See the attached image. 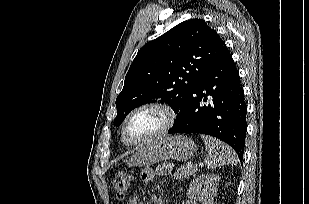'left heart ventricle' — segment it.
<instances>
[{"instance_id":"obj_1","label":"left heart ventricle","mask_w":309,"mask_h":204,"mask_svg":"<svg viewBox=\"0 0 309 204\" xmlns=\"http://www.w3.org/2000/svg\"><path fill=\"white\" fill-rule=\"evenodd\" d=\"M164 123V115L155 109L140 111L130 118L126 135L131 141L143 140L158 131Z\"/></svg>"}]
</instances>
